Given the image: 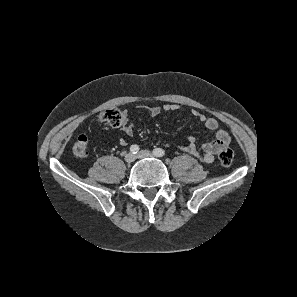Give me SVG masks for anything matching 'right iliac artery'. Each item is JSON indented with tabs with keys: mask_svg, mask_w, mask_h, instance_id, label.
<instances>
[{
	"mask_svg": "<svg viewBox=\"0 0 297 297\" xmlns=\"http://www.w3.org/2000/svg\"><path fill=\"white\" fill-rule=\"evenodd\" d=\"M130 151H131L133 154L138 153V151H139V146H138V145H132V146L130 147Z\"/></svg>",
	"mask_w": 297,
	"mask_h": 297,
	"instance_id": "right-iliac-artery-1",
	"label": "right iliac artery"
}]
</instances>
